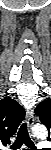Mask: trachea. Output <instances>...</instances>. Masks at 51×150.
<instances>
[{
  "label": "trachea",
  "mask_w": 51,
  "mask_h": 150,
  "mask_svg": "<svg viewBox=\"0 0 51 150\" xmlns=\"http://www.w3.org/2000/svg\"><path fill=\"white\" fill-rule=\"evenodd\" d=\"M23 144H25L29 148H34V144L28 135L26 123H23L20 126L17 137H16V141L14 142L13 145H11V149H14V150L19 149Z\"/></svg>",
  "instance_id": "3493384b"
}]
</instances>
